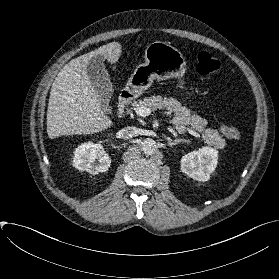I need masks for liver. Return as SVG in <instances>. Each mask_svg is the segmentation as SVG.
Listing matches in <instances>:
<instances>
[{"label": "liver", "instance_id": "liver-1", "mask_svg": "<svg viewBox=\"0 0 279 279\" xmlns=\"http://www.w3.org/2000/svg\"><path fill=\"white\" fill-rule=\"evenodd\" d=\"M121 52V44L111 42L72 59L61 69L52 84L48 102L47 134L50 139L61 135H89L114 125L101 109L87 66L97 55L116 63Z\"/></svg>", "mask_w": 279, "mask_h": 279}]
</instances>
